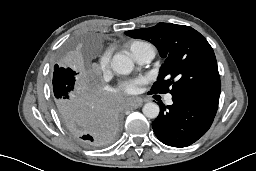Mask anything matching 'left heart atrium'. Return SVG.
<instances>
[{
	"label": "left heart atrium",
	"instance_id": "39dd6f15",
	"mask_svg": "<svg viewBox=\"0 0 256 171\" xmlns=\"http://www.w3.org/2000/svg\"><path fill=\"white\" fill-rule=\"evenodd\" d=\"M142 84V80H130L121 85V91L128 95H135L139 92V87Z\"/></svg>",
	"mask_w": 256,
	"mask_h": 171
}]
</instances>
